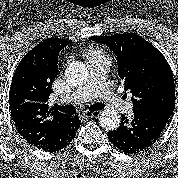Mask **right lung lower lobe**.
<instances>
[{"instance_id": "98d812e1", "label": "right lung lower lobe", "mask_w": 178, "mask_h": 178, "mask_svg": "<svg viewBox=\"0 0 178 178\" xmlns=\"http://www.w3.org/2000/svg\"><path fill=\"white\" fill-rule=\"evenodd\" d=\"M80 124L81 122L79 121L77 117V120L74 123H72L71 127L66 129L63 133L58 135L56 138H54L49 143L43 145L42 147H39V149L55 152L57 150H60L66 147L74 138L77 128L79 127Z\"/></svg>"}]
</instances>
